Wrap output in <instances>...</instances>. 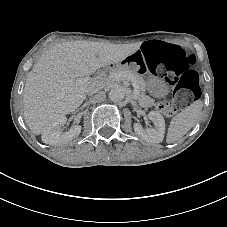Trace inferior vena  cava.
Returning a JSON list of instances; mask_svg holds the SVG:
<instances>
[{
  "label": "inferior vena cava",
  "instance_id": "obj_1",
  "mask_svg": "<svg viewBox=\"0 0 227 227\" xmlns=\"http://www.w3.org/2000/svg\"><path fill=\"white\" fill-rule=\"evenodd\" d=\"M98 88V84L96 82L90 84L88 86V88L86 89V94L89 95V96H93L92 98V102H99V101H102L104 99V95L105 93L104 92H99V90H97Z\"/></svg>",
  "mask_w": 227,
  "mask_h": 227
}]
</instances>
